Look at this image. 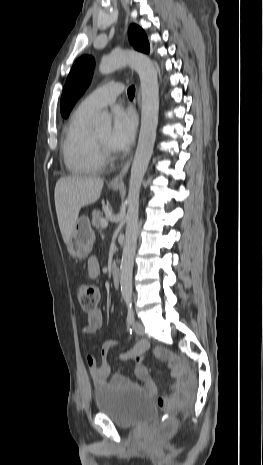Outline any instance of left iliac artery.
Instances as JSON below:
<instances>
[{"mask_svg": "<svg viewBox=\"0 0 263 465\" xmlns=\"http://www.w3.org/2000/svg\"><path fill=\"white\" fill-rule=\"evenodd\" d=\"M127 310V322L132 325L135 321V317L131 302H127Z\"/></svg>", "mask_w": 263, "mask_h": 465, "instance_id": "1", "label": "left iliac artery"}]
</instances>
